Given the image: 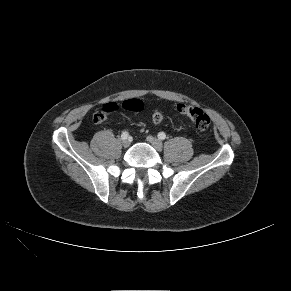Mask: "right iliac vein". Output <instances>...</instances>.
<instances>
[{
    "label": "right iliac vein",
    "instance_id": "1",
    "mask_svg": "<svg viewBox=\"0 0 291 291\" xmlns=\"http://www.w3.org/2000/svg\"><path fill=\"white\" fill-rule=\"evenodd\" d=\"M122 145H123L125 148H127V147L130 146V141L127 140V139H126V140H123Z\"/></svg>",
    "mask_w": 291,
    "mask_h": 291
}]
</instances>
